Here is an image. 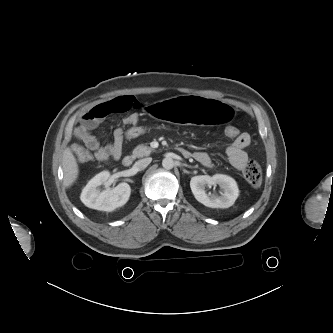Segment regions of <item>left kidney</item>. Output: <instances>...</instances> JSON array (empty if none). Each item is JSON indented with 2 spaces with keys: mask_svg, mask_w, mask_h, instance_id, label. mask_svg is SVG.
<instances>
[{
  "mask_svg": "<svg viewBox=\"0 0 333 333\" xmlns=\"http://www.w3.org/2000/svg\"><path fill=\"white\" fill-rule=\"evenodd\" d=\"M219 185L221 196L206 194V186ZM190 187L196 200L210 208H229L236 201L239 189L236 181L227 175H199L191 178Z\"/></svg>",
  "mask_w": 333,
  "mask_h": 333,
  "instance_id": "5707ae66",
  "label": "left kidney"
}]
</instances>
